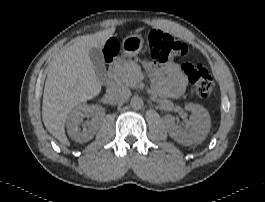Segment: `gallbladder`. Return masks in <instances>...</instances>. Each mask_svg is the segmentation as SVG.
Returning a JSON list of instances; mask_svg holds the SVG:
<instances>
[{
	"instance_id": "1",
	"label": "gallbladder",
	"mask_w": 265,
	"mask_h": 202,
	"mask_svg": "<svg viewBox=\"0 0 265 202\" xmlns=\"http://www.w3.org/2000/svg\"><path fill=\"white\" fill-rule=\"evenodd\" d=\"M89 58L97 75L104 76L106 72V66L101 49L98 47L91 48L89 50Z\"/></svg>"
}]
</instances>
